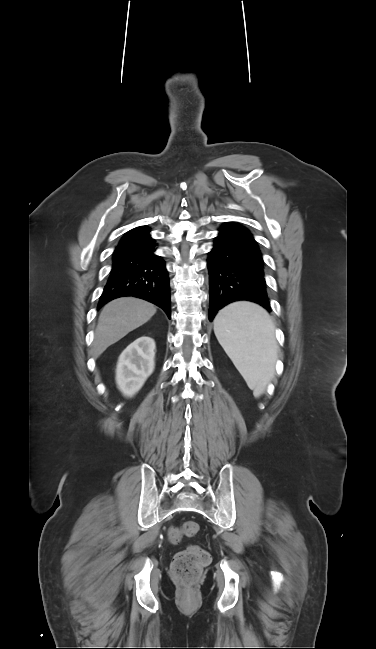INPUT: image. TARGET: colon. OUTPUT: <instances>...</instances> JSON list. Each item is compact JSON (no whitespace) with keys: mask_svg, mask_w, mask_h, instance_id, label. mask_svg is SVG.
<instances>
[{"mask_svg":"<svg viewBox=\"0 0 376 649\" xmlns=\"http://www.w3.org/2000/svg\"><path fill=\"white\" fill-rule=\"evenodd\" d=\"M200 526L197 522L189 520L179 527H172L169 539L177 543L183 536L193 537L199 533ZM210 555L204 549L191 545L178 552L171 564V574L175 580L183 585L194 584L201 576L203 569L209 564Z\"/></svg>","mask_w":376,"mask_h":649,"instance_id":"colon-1","label":"colon"}]
</instances>
